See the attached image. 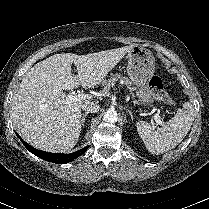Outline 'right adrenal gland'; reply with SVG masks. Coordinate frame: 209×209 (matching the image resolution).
Segmentation results:
<instances>
[{"label":"right adrenal gland","mask_w":209,"mask_h":209,"mask_svg":"<svg viewBox=\"0 0 209 209\" xmlns=\"http://www.w3.org/2000/svg\"><path fill=\"white\" fill-rule=\"evenodd\" d=\"M87 115H88V112H85L82 114V118H81V122H80L81 126H84Z\"/></svg>","instance_id":"2a0ac1e0"}]
</instances>
